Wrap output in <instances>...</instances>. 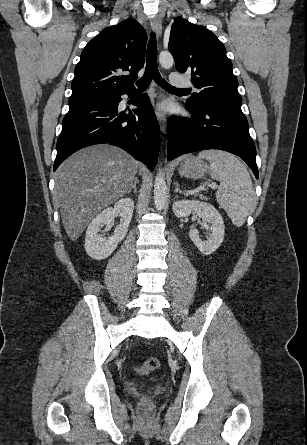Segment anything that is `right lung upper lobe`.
Returning <instances> with one entry per match:
<instances>
[{
	"instance_id": "right-lung-upper-lobe-1",
	"label": "right lung upper lobe",
	"mask_w": 307,
	"mask_h": 445,
	"mask_svg": "<svg viewBox=\"0 0 307 445\" xmlns=\"http://www.w3.org/2000/svg\"><path fill=\"white\" fill-rule=\"evenodd\" d=\"M147 34L134 19L108 27L93 38L75 68L69 102L134 88L144 65ZM130 71V75H120Z\"/></svg>"
}]
</instances>
